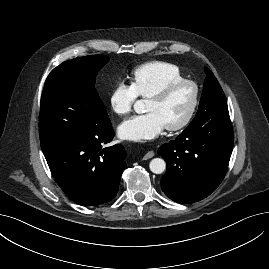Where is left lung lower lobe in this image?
<instances>
[{"label": "left lung lower lobe", "mask_w": 269, "mask_h": 269, "mask_svg": "<svg viewBox=\"0 0 269 269\" xmlns=\"http://www.w3.org/2000/svg\"><path fill=\"white\" fill-rule=\"evenodd\" d=\"M233 148L230 119L189 125L158 153L167 163L161 188L178 203H193L210 195L222 182Z\"/></svg>", "instance_id": "0a47b994"}]
</instances>
